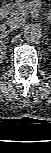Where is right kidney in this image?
<instances>
[{"instance_id": "1", "label": "right kidney", "mask_w": 51, "mask_h": 153, "mask_svg": "<svg viewBox=\"0 0 51 153\" xmlns=\"http://www.w3.org/2000/svg\"><path fill=\"white\" fill-rule=\"evenodd\" d=\"M5 51H6V45H5V43L1 42L0 43V57H1V59L4 58Z\"/></svg>"}]
</instances>
